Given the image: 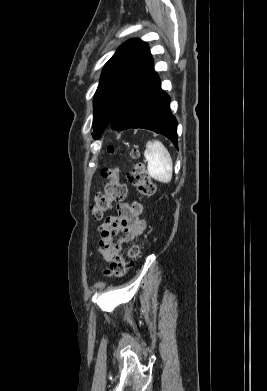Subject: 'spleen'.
<instances>
[{
    "label": "spleen",
    "instance_id": "obj_1",
    "mask_svg": "<svg viewBox=\"0 0 267 391\" xmlns=\"http://www.w3.org/2000/svg\"><path fill=\"white\" fill-rule=\"evenodd\" d=\"M144 156L148 162V174L162 183H169L172 179V158L165 146L158 140L148 141Z\"/></svg>",
    "mask_w": 267,
    "mask_h": 391
}]
</instances>
